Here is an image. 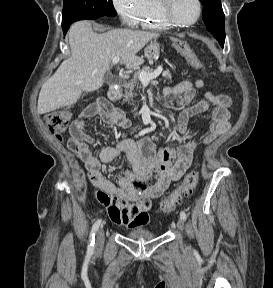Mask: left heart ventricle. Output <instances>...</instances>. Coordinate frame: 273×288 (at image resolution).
<instances>
[{
    "label": "left heart ventricle",
    "instance_id": "left-heart-ventricle-1",
    "mask_svg": "<svg viewBox=\"0 0 273 288\" xmlns=\"http://www.w3.org/2000/svg\"><path fill=\"white\" fill-rule=\"evenodd\" d=\"M171 12L174 18L181 22L193 20L197 15L195 0H173Z\"/></svg>",
    "mask_w": 273,
    "mask_h": 288
}]
</instances>
